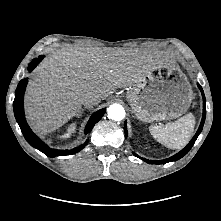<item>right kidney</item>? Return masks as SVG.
<instances>
[{
	"label": "right kidney",
	"instance_id": "obj_1",
	"mask_svg": "<svg viewBox=\"0 0 221 221\" xmlns=\"http://www.w3.org/2000/svg\"><path fill=\"white\" fill-rule=\"evenodd\" d=\"M76 125L73 123L67 128V132L63 135V137L68 138L75 131Z\"/></svg>",
	"mask_w": 221,
	"mask_h": 221
}]
</instances>
